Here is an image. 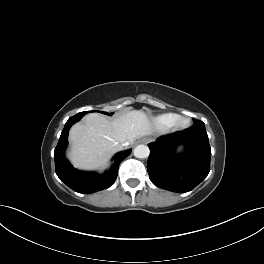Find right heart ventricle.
<instances>
[{
	"instance_id": "e07e8e85",
	"label": "right heart ventricle",
	"mask_w": 264,
	"mask_h": 264,
	"mask_svg": "<svg viewBox=\"0 0 264 264\" xmlns=\"http://www.w3.org/2000/svg\"><path fill=\"white\" fill-rule=\"evenodd\" d=\"M176 117L174 113H164L153 117L152 123L159 130H167L172 127Z\"/></svg>"
}]
</instances>
